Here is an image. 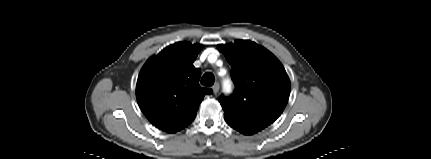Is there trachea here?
Segmentation results:
<instances>
[{
	"mask_svg": "<svg viewBox=\"0 0 431 159\" xmlns=\"http://www.w3.org/2000/svg\"><path fill=\"white\" fill-rule=\"evenodd\" d=\"M215 77L212 73L206 72L201 78V84L204 86H212L214 84Z\"/></svg>",
	"mask_w": 431,
	"mask_h": 159,
	"instance_id": "1",
	"label": "trachea"
}]
</instances>
